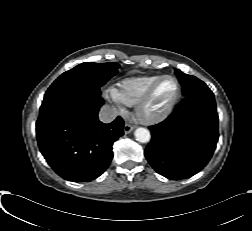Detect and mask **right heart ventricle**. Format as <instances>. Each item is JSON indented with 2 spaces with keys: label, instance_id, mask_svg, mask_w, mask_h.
<instances>
[{
  "label": "right heart ventricle",
  "instance_id": "e07e8e85",
  "mask_svg": "<svg viewBox=\"0 0 252 231\" xmlns=\"http://www.w3.org/2000/svg\"><path fill=\"white\" fill-rule=\"evenodd\" d=\"M159 77L160 75H142L125 78L117 83L116 95L123 104L134 106Z\"/></svg>",
  "mask_w": 252,
  "mask_h": 231
}]
</instances>
